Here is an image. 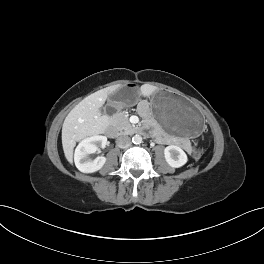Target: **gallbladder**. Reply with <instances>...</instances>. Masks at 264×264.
I'll return each instance as SVG.
<instances>
[{"label":"gallbladder","mask_w":264,"mask_h":264,"mask_svg":"<svg viewBox=\"0 0 264 264\" xmlns=\"http://www.w3.org/2000/svg\"><path fill=\"white\" fill-rule=\"evenodd\" d=\"M99 112L102 113V114H105V113H106V110H105V108L100 107V108H99Z\"/></svg>","instance_id":"obj_1"}]
</instances>
